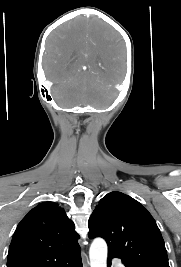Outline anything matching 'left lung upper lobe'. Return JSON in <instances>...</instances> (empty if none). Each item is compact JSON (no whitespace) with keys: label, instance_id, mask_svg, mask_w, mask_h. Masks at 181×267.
Here are the masks:
<instances>
[{"label":"left lung upper lobe","instance_id":"left-lung-upper-lobe-1","mask_svg":"<svg viewBox=\"0 0 181 267\" xmlns=\"http://www.w3.org/2000/svg\"><path fill=\"white\" fill-rule=\"evenodd\" d=\"M90 239L102 237L108 251L130 267H169L164 240L146 208L121 192L106 194L89 222Z\"/></svg>","mask_w":181,"mask_h":267}]
</instances>
